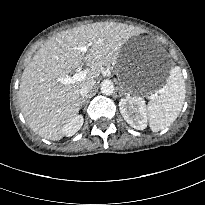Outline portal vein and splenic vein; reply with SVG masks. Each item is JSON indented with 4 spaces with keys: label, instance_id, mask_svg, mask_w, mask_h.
I'll use <instances>...</instances> for the list:
<instances>
[{
    "label": "portal vein and splenic vein",
    "instance_id": "18ae733b",
    "mask_svg": "<svg viewBox=\"0 0 205 205\" xmlns=\"http://www.w3.org/2000/svg\"><path fill=\"white\" fill-rule=\"evenodd\" d=\"M77 50L81 53H86L88 50V47L86 46H80L77 48ZM87 77V70L85 69H79L73 76H64V77H58L56 79L57 82L65 85L73 84L75 82L81 81Z\"/></svg>",
    "mask_w": 205,
    "mask_h": 205
}]
</instances>
